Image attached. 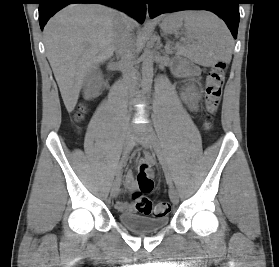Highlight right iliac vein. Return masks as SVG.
<instances>
[{
    "label": "right iliac vein",
    "mask_w": 279,
    "mask_h": 267,
    "mask_svg": "<svg viewBox=\"0 0 279 267\" xmlns=\"http://www.w3.org/2000/svg\"><path fill=\"white\" fill-rule=\"evenodd\" d=\"M133 143V135H132V130L129 128L126 132L125 138H124V150H127L128 148H131ZM119 187H120V177L117 176L112 184L111 187V197L114 198L118 191H119Z\"/></svg>",
    "instance_id": "1"
}]
</instances>
